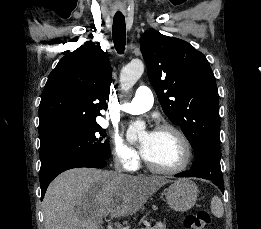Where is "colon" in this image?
I'll use <instances>...</instances> for the list:
<instances>
[{
  "instance_id": "colon-1",
  "label": "colon",
  "mask_w": 261,
  "mask_h": 229,
  "mask_svg": "<svg viewBox=\"0 0 261 229\" xmlns=\"http://www.w3.org/2000/svg\"><path fill=\"white\" fill-rule=\"evenodd\" d=\"M211 217L205 210H197L187 215L184 221L185 229H210Z\"/></svg>"
}]
</instances>
